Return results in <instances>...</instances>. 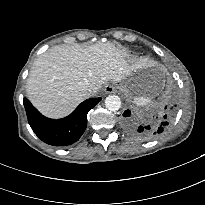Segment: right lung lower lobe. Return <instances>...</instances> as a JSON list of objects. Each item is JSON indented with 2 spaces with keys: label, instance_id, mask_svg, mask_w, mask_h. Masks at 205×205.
Masks as SVG:
<instances>
[{
  "label": "right lung lower lobe",
  "instance_id": "98d812e1",
  "mask_svg": "<svg viewBox=\"0 0 205 205\" xmlns=\"http://www.w3.org/2000/svg\"><path fill=\"white\" fill-rule=\"evenodd\" d=\"M100 100L101 98L87 99L69 116L58 120L44 117L26 98L24 106L32 130L43 142L53 146H66L82 136L87 126V113Z\"/></svg>",
  "mask_w": 205,
  "mask_h": 205
}]
</instances>
